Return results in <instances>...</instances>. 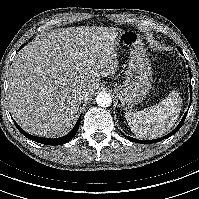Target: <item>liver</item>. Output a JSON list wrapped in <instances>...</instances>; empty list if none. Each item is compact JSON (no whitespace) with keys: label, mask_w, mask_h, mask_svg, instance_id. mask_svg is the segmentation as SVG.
<instances>
[{"label":"liver","mask_w":199,"mask_h":199,"mask_svg":"<svg viewBox=\"0 0 199 199\" xmlns=\"http://www.w3.org/2000/svg\"><path fill=\"white\" fill-rule=\"evenodd\" d=\"M120 32L114 27H69L27 44L16 55L8 79L9 110L17 123L37 136L66 134L100 78L116 72ZM74 89L84 91L83 100L73 97Z\"/></svg>","instance_id":"1"}]
</instances>
